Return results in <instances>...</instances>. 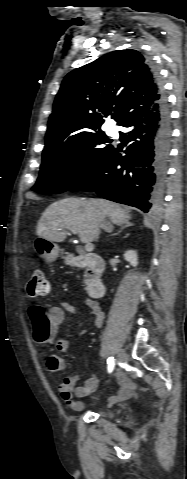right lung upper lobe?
<instances>
[{"label":"right lung upper lobe","instance_id":"cb5924a9","mask_svg":"<svg viewBox=\"0 0 187 479\" xmlns=\"http://www.w3.org/2000/svg\"><path fill=\"white\" fill-rule=\"evenodd\" d=\"M162 89L147 59L132 49L111 52L71 71L54 101L45 149L100 130L109 114L121 125L133 111L159 101Z\"/></svg>","mask_w":187,"mask_h":479}]
</instances>
